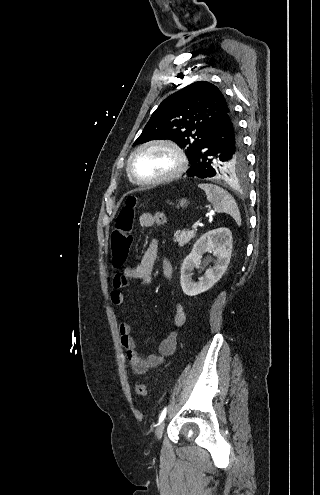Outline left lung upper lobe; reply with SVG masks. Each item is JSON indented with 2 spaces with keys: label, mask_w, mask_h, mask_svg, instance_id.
<instances>
[{
  "label": "left lung upper lobe",
  "mask_w": 320,
  "mask_h": 495,
  "mask_svg": "<svg viewBox=\"0 0 320 495\" xmlns=\"http://www.w3.org/2000/svg\"><path fill=\"white\" fill-rule=\"evenodd\" d=\"M224 94L207 81L194 82L166 98L152 114L133 145L155 139H169L186 148L187 158L195 155L214 126L231 113ZM221 152V153H220ZM217 177H229L245 169L242 142L234 154L214 151L211 159Z\"/></svg>",
  "instance_id": "1"
}]
</instances>
